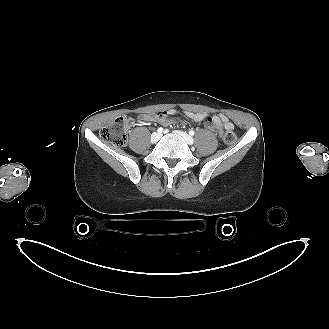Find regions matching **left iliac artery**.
Returning a JSON list of instances; mask_svg holds the SVG:
<instances>
[{
	"label": "left iliac artery",
	"instance_id": "obj_1",
	"mask_svg": "<svg viewBox=\"0 0 329 329\" xmlns=\"http://www.w3.org/2000/svg\"><path fill=\"white\" fill-rule=\"evenodd\" d=\"M189 134H190L191 136H193V135L195 134V132H194L193 130H190V131H189Z\"/></svg>",
	"mask_w": 329,
	"mask_h": 329
}]
</instances>
